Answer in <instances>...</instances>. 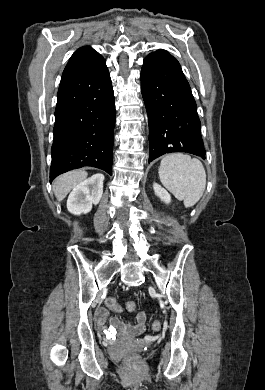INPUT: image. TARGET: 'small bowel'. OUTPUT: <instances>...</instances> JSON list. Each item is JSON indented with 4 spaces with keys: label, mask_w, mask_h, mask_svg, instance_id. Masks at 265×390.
I'll return each instance as SVG.
<instances>
[{
    "label": "small bowel",
    "mask_w": 265,
    "mask_h": 390,
    "mask_svg": "<svg viewBox=\"0 0 265 390\" xmlns=\"http://www.w3.org/2000/svg\"><path fill=\"white\" fill-rule=\"evenodd\" d=\"M98 324L105 328V323L108 318V313L105 309L101 308L98 310ZM146 324V314L143 311H140L136 316V324L133 326L123 325L118 318H111V327L113 329H120L125 331L129 335H139L145 331ZM110 331V330H109Z\"/></svg>",
    "instance_id": "c3829d8e"
}]
</instances>
